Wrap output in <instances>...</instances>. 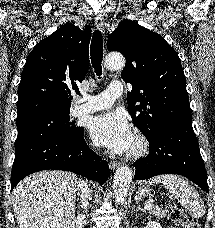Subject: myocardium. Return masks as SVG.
Instances as JSON below:
<instances>
[{"instance_id":"myocardium-1","label":"myocardium","mask_w":215,"mask_h":228,"mask_svg":"<svg viewBox=\"0 0 215 228\" xmlns=\"http://www.w3.org/2000/svg\"><path fill=\"white\" fill-rule=\"evenodd\" d=\"M149 149V142L147 137L141 133L137 132L134 136L133 144L127 153V158L136 160L142 156H144Z\"/></svg>"}]
</instances>
